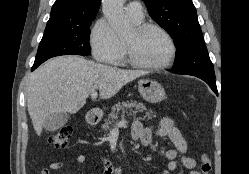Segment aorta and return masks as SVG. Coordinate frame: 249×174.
I'll return each mask as SVG.
<instances>
[{"label": "aorta", "mask_w": 249, "mask_h": 174, "mask_svg": "<svg viewBox=\"0 0 249 174\" xmlns=\"http://www.w3.org/2000/svg\"><path fill=\"white\" fill-rule=\"evenodd\" d=\"M125 0H102V9L111 27L119 36L127 34L131 24L123 9Z\"/></svg>", "instance_id": "obj_1"}]
</instances>
